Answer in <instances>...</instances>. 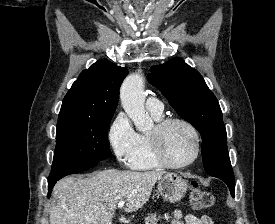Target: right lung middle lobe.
Segmentation results:
<instances>
[{"label": "right lung middle lobe", "instance_id": "1", "mask_svg": "<svg viewBox=\"0 0 275 224\" xmlns=\"http://www.w3.org/2000/svg\"><path fill=\"white\" fill-rule=\"evenodd\" d=\"M112 116L58 121L48 180L64 177L111 157L107 131Z\"/></svg>", "mask_w": 275, "mask_h": 224}]
</instances>
